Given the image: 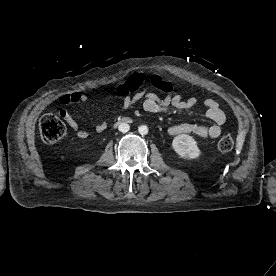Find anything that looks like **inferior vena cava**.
I'll return each mask as SVG.
<instances>
[{"instance_id": "1", "label": "inferior vena cava", "mask_w": 276, "mask_h": 276, "mask_svg": "<svg viewBox=\"0 0 276 276\" xmlns=\"http://www.w3.org/2000/svg\"><path fill=\"white\" fill-rule=\"evenodd\" d=\"M118 129L120 132L126 133L130 130V126L127 123H120Z\"/></svg>"}]
</instances>
